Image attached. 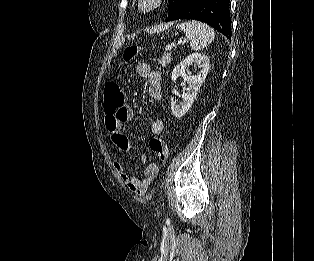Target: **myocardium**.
<instances>
[{"mask_svg":"<svg viewBox=\"0 0 314 261\" xmlns=\"http://www.w3.org/2000/svg\"><path fill=\"white\" fill-rule=\"evenodd\" d=\"M166 0H137V9L141 13H153L164 7Z\"/></svg>","mask_w":314,"mask_h":261,"instance_id":"f54148a6","label":"myocardium"}]
</instances>
